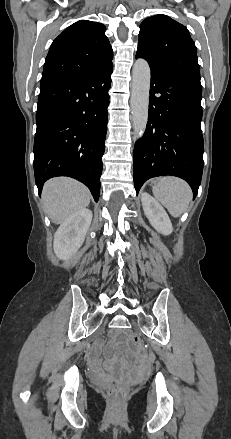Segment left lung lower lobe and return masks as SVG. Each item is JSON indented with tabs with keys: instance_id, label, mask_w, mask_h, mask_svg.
<instances>
[{
	"instance_id": "obj_1",
	"label": "left lung lower lobe",
	"mask_w": 231,
	"mask_h": 439,
	"mask_svg": "<svg viewBox=\"0 0 231 439\" xmlns=\"http://www.w3.org/2000/svg\"><path fill=\"white\" fill-rule=\"evenodd\" d=\"M201 98L200 76L151 68L147 128L133 156L137 193L146 180L173 175L196 196L203 172Z\"/></svg>"
}]
</instances>
